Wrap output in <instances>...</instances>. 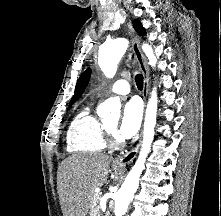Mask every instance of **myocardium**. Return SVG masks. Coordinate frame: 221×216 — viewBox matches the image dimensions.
Here are the masks:
<instances>
[{"mask_svg":"<svg viewBox=\"0 0 221 216\" xmlns=\"http://www.w3.org/2000/svg\"><path fill=\"white\" fill-rule=\"evenodd\" d=\"M104 131L111 146L117 147L120 145L121 141L116 135L115 130L111 129L107 124H104Z\"/></svg>","mask_w":221,"mask_h":216,"instance_id":"obj_1","label":"myocardium"}]
</instances>
